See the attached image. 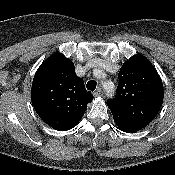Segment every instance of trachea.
<instances>
[{
	"instance_id": "1",
	"label": "trachea",
	"mask_w": 175,
	"mask_h": 175,
	"mask_svg": "<svg viewBox=\"0 0 175 175\" xmlns=\"http://www.w3.org/2000/svg\"><path fill=\"white\" fill-rule=\"evenodd\" d=\"M96 86H97V83H96V81H94V80H90V81H88L87 84H86V88H87L88 90H91V91H94V90L96 89Z\"/></svg>"
}]
</instances>
